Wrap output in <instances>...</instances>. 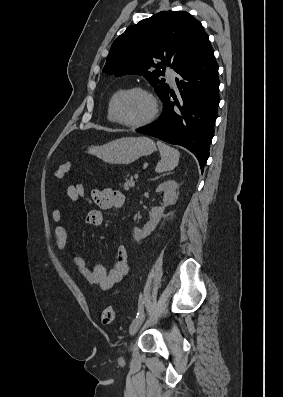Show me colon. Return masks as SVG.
I'll return each instance as SVG.
<instances>
[{"instance_id":"5ec220e1","label":"colon","mask_w":283,"mask_h":397,"mask_svg":"<svg viewBox=\"0 0 283 397\" xmlns=\"http://www.w3.org/2000/svg\"><path fill=\"white\" fill-rule=\"evenodd\" d=\"M72 169V163L64 162L60 164L55 172L57 178L66 176ZM115 309L112 306H107L103 309L101 314V321L104 325H110L115 320Z\"/></svg>"}]
</instances>
